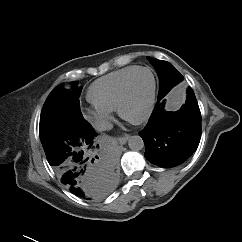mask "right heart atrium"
Masks as SVG:
<instances>
[{
    "label": "right heart atrium",
    "mask_w": 242,
    "mask_h": 242,
    "mask_svg": "<svg viewBox=\"0 0 242 242\" xmlns=\"http://www.w3.org/2000/svg\"><path fill=\"white\" fill-rule=\"evenodd\" d=\"M84 116L101 130L108 128L113 118L111 110L100 109L95 106L86 108Z\"/></svg>",
    "instance_id": "right-heart-atrium-1"
}]
</instances>
